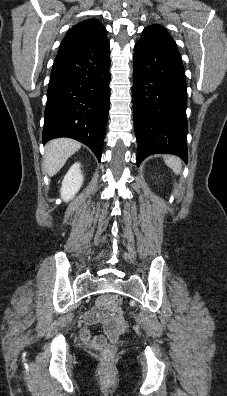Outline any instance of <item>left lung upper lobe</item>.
<instances>
[{
	"label": "left lung upper lobe",
	"instance_id": "5c2ea615",
	"mask_svg": "<svg viewBox=\"0 0 227 396\" xmlns=\"http://www.w3.org/2000/svg\"><path fill=\"white\" fill-rule=\"evenodd\" d=\"M142 39H158L175 43L166 29L160 25L153 24L143 30Z\"/></svg>",
	"mask_w": 227,
	"mask_h": 396
}]
</instances>
